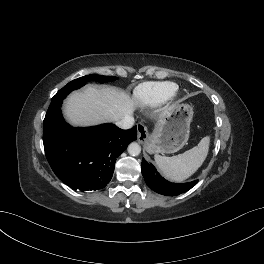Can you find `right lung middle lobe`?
Masks as SVG:
<instances>
[{
  "label": "right lung middle lobe",
  "instance_id": "right-lung-middle-lobe-1",
  "mask_svg": "<svg viewBox=\"0 0 264 264\" xmlns=\"http://www.w3.org/2000/svg\"><path fill=\"white\" fill-rule=\"evenodd\" d=\"M115 79H116L115 76H102V75H86L84 77L75 79L69 82L66 86H64L61 90L57 92V94L52 98L49 108L60 103L71 91L84 86L87 81L96 80L99 82H104V81H113Z\"/></svg>",
  "mask_w": 264,
  "mask_h": 264
}]
</instances>
